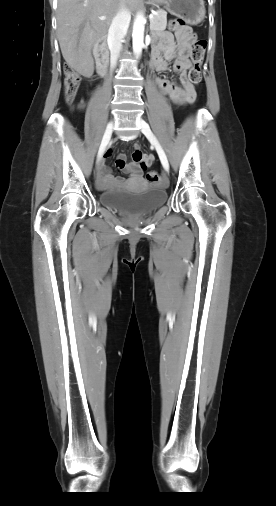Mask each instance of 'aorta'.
Here are the masks:
<instances>
[{"mask_svg": "<svg viewBox=\"0 0 276 506\" xmlns=\"http://www.w3.org/2000/svg\"><path fill=\"white\" fill-rule=\"evenodd\" d=\"M144 29H145V18L141 13H138L133 24L132 31V45L133 52L136 57H139L144 47Z\"/></svg>", "mask_w": 276, "mask_h": 506, "instance_id": "762f6f07", "label": "aorta"}]
</instances>
